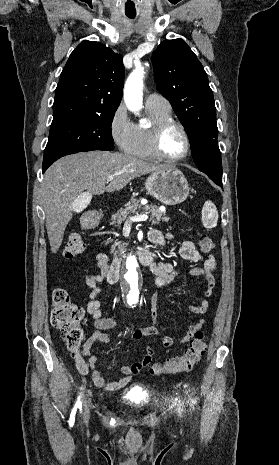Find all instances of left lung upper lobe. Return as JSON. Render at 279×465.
<instances>
[{
  "label": "left lung upper lobe",
  "mask_w": 279,
  "mask_h": 465,
  "mask_svg": "<svg viewBox=\"0 0 279 465\" xmlns=\"http://www.w3.org/2000/svg\"><path fill=\"white\" fill-rule=\"evenodd\" d=\"M152 60L156 88L184 126L194 162L200 171L221 184L216 108L202 64L182 39L161 42Z\"/></svg>",
  "instance_id": "5c2ea615"
}]
</instances>
